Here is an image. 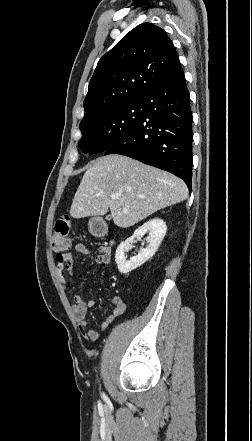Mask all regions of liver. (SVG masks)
<instances>
[{
    "mask_svg": "<svg viewBox=\"0 0 252 441\" xmlns=\"http://www.w3.org/2000/svg\"><path fill=\"white\" fill-rule=\"evenodd\" d=\"M111 195H116L112 199ZM183 180L135 159L108 155L87 169L75 193L73 218L102 216L110 208L114 224L128 228L156 211L187 199Z\"/></svg>",
    "mask_w": 252,
    "mask_h": 441,
    "instance_id": "obj_1",
    "label": "liver"
}]
</instances>
